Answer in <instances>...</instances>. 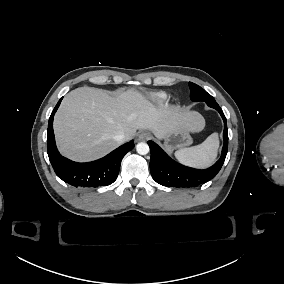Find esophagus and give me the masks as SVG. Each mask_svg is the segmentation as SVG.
I'll list each match as a JSON object with an SVG mask.
<instances>
[{"label":"esophagus","mask_w":284,"mask_h":284,"mask_svg":"<svg viewBox=\"0 0 284 284\" xmlns=\"http://www.w3.org/2000/svg\"><path fill=\"white\" fill-rule=\"evenodd\" d=\"M146 137H147V135L145 133H142V134L139 135V139H144Z\"/></svg>","instance_id":"esophagus-1"}]
</instances>
